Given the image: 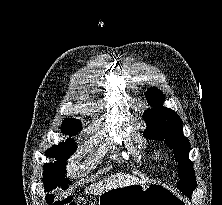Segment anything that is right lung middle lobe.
<instances>
[{
  "label": "right lung middle lobe",
  "mask_w": 222,
  "mask_h": 205,
  "mask_svg": "<svg viewBox=\"0 0 222 205\" xmlns=\"http://www.w3.org/2000/svg\"><path fill=\"white\" fill-rule=\"evenodd\" d=\"M82 125H62V133L65 135H76L81 131ZM77 149L74 141L68 139L61 142L59 145H54L46 151V156L55 158L57 161L50 164H44V178L43 182L46 185H55L66 188L70 183L66 174V159L69 158Z\"/></svg>",
  "instance_id": "right-lung-middle-lobe-1"
}]
</instances>
